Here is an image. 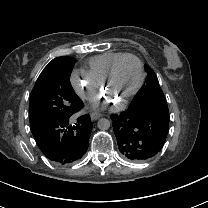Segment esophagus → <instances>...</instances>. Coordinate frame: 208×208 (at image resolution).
<instances>
[{
	"label": "esophagus",
	"instance_id": "obj_1",
	"mask_svg": "<svg viewBox=\"0 0 208 208\" xmlns=\"http://www.w3.org/2000/svg\"><path fill=\"white\" fill-rule=\"evenodd\" d=\"M102 115L101 114H98V113H91L90 117H91V120L95 121L97 119H99Z\"/></svg>",
	"mask_w": 208,
	"mask_h": 208
}]
</instances>
